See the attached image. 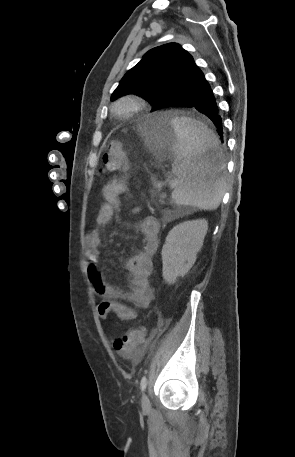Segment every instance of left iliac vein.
Segmentation results:
<instances>
[{
  "instance_id": "obj_1",
  "label": "left iliac vein",
  "mask_w": 295,
  "mask_h": 457,
  "mask_svg": "<svg viewBox=\"0 0 295 457\" xmlns=\"http://www.w3.org/2000/svg\"><path fill=\"white\" fill-rule=\"evenodd\" d=\"M141 404H142L143 408H145V407H147L149 405V399H148L146 394L142 395Z\"/></svg>"
}]
</instances>
